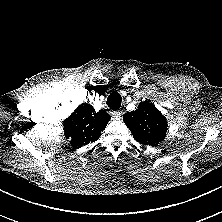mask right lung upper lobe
<instances>
[{
  "mask_svg": "<svg viewBox=\"0 0 222 222\" xmlns=\"http://www.w3.org/2000/svg\"><path fill=\"white\" fill-rule=\"evenodd\" d=\"M110 119L104 110L96 112L92 105L81 104L63 122L65 137L74 147L86 145L99 139Z\"/></svg>",
  "mask_w": 222,
  "mask_h": 222,
  "instance_id": "cb5924a9",
  "label": "right lung upper lobe"
}]
</instances>
